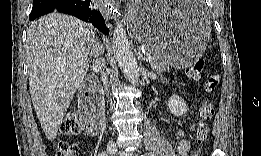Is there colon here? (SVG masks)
Listing matches in <instances>:
<instances>
[{
	"label": "colon",
	"mask_w": 261,
	"mask_h": 156,
	"mask_svg": "<svg viewBox=\"0 0 261 156\" xmlns=\"http://www.w3.org/2000/svg\"><path fill=\"white\" fill-rule=\"evenodd\" d=\"M204 67L203 60L195 61L191 67L188 69V76L197 80L200 76ZM219 78L215 74H209L205 77L203 81V88L207 95H213L218 87ZM214 116V105L210 100H207L199 109V118L200 121L197 126L195 141L198 145H201L207 139L209 134V122ZM82 128L91 135L98 133V128L94 123L83 121L80 122L78 114L76 112H70L64 119L61 126V133L66 137H73L80 133ZM76 147L69 145L66 142H60L58 146L57 155L70 156L75 155ZM196 154V152L194 153Z\"/></svg>",
	"instance_id": "5ec220e1"
}]
</instances>
